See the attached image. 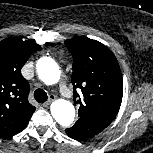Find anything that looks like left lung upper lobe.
<instances>
[{"instance_id": "left-lung-upper-lobe-1", "label": "left lung upper lobe", "mask_w": 153, "mask_h": 153, "mask_svg": "<svg viewBox=\"0 0 153 153\" xmlns=\"http://www.w3.org/2000/svg\"><path fill=\"white\" fill-rule=\"evenodd\" d=\"M73 56L74 102L79 119L66 129L69 137L88 139L104 130L116 117L123 95V79L114 54L102 43L85 37L66 40ZM82 91L81 96L76 89Z\"/></svg>"}]
</instances>
